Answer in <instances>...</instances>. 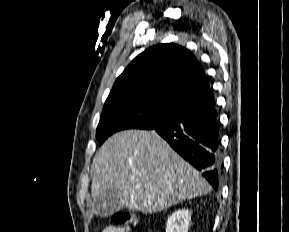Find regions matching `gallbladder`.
Wrapping results in <instances>:
<instances>
[{
	"label": "gallbladder",
	"instance_id": "obj_1",
	"mask_svg": "<svg viewBox=\"0 0 289 232\" xmlns=\"http://www.w3.org/2000/svg\"><path fill=\"white\" fill-rule=\"evenodd\" d=\"M93 206L99 216H109L123 208L117 190L108 191L105 196L94 198Z\"/></svg>",
	"mask_w": 289,
	"mask_h": 232
}]
</instances>
